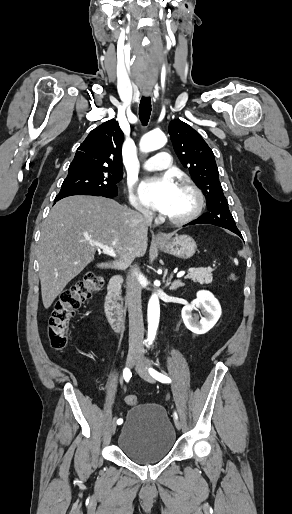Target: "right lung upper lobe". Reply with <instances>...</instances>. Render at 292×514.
I'll return each instance as SVG.
<instances>
[{
  "instance_id": "cb5924a9",
  "label": "right lung upper lobe",
  "mask_w": 292,
  "mask_h": 514,
  "mask_svg": "<svg viewBox=\"0 0 292 514\" xmlns=\"http://www.w3.org/2000/svg\"><path fill=\"white\" fill-rule=\"evenodd\" d=\"M124 134L116 120L92 130L78 147L68 173H123L121 148Z\"/></svg>"
}]
</instances>
